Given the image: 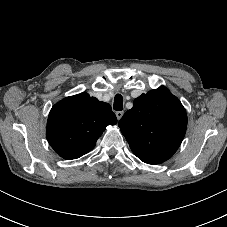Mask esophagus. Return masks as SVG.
<instances>
[{
	"label": "esophagus",
	"instance_id": "1",
	"mask_svg": "<svg viewBox=\"0 0 227 227\" xmlns=\"http://www.w3.org/2000/svg\"><path fill=\"white\" fill-rule=\"evenodd\" d=\"M123 114H124L123 111H117V112H116V117H117V119L120 120V119L122 118Z\"/></svg>",
	"mask_w": 227,
	"mask_h": 227
}]
</instances>
